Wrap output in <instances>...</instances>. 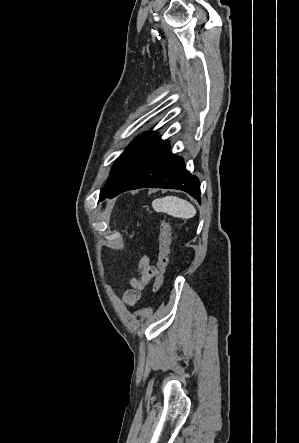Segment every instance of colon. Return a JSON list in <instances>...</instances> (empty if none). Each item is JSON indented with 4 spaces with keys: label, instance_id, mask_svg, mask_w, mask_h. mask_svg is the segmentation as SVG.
Here are the masks:
<instances>
[{
    "label": "colon",
    "instance_id": "obj_1",
    "mask_svg": "<svg viewBox=\"0 0 299 443\" xmlns=\"http://www.w3.org/2000/svg\"><path fill=\"white\" fill-rule=\"evenodd\" d=\"M159 229L158 235V259L155 268V283L154 290L158 291L164 281V274L169 261L170 253V226L163 219L158 218L156 220Z\"/></svg>",
    "mask_w": 299,
    "mask_h": 443
}]
</instances>
